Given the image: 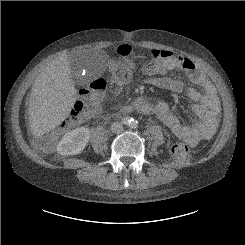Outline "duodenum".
<instances>
[{"mask_svg":"<svg viewBox=\"0 0 245 245\" xmlns=\"http://www.w3.org/2000/svg\"><path fill=\"white\" fill-rule=\"evenodd\" d=\"M129 111H130L129 109H122L120 111V113L125 115V114L129 113Z\"/></svg>","mask_w":245,"mask_h":245,"instance_id":"obj_1","label":"duodenum"}]
</instances>
